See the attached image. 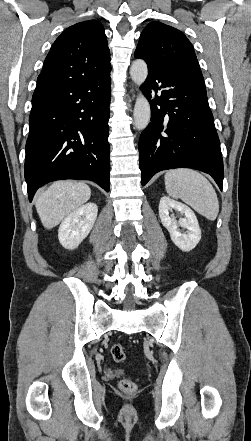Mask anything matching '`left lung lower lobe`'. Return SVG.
I'll list each match as a JSON object with an SVG mask.
<instances>
[{
  "mask_svg": "<svg viewBox=\"0 0 251 441\" xmlns=\"http://www.w3.org/2000/svg\"><path fill=\"white\" fill-rule=\"evenodd\" d=\"M141 90L151 105L139 140L142 185L159 171L192 168L210 174L222 190L223 160L204 80L148 68Z\"/></svg>",
  "mask_w": 251,
  "mask_h": 441,
  "instance_id": "0a47b994",
  "label": "left lung lower lobe"
}]
</instances>
